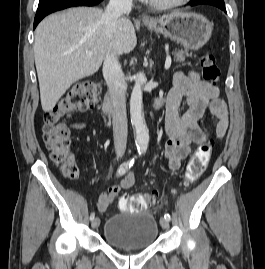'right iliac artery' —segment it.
Listing matches in <instances>:
<instances>
[{
  "label": "right iliac artery",
  "mask_w": 265,
  "mask_h": 269,
  "mask_svg": "<svg viewBox=\"0 0 265 269\" xmlns=\"http://www.w3.org/2000/svg\"><path fill=\"white\" fill-rule=\"evenodd\" d=\"M133 163H134V158L120 165V167L117 170V176H121L125 174V172L133 166ZM94 217H95V214L91 213L90 219L93 220Z\"/></svg>",
  "instance_id": "82829eb1"
}]
</instances>
